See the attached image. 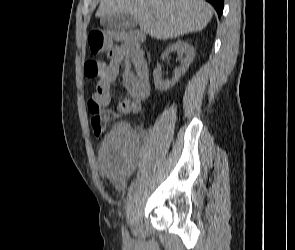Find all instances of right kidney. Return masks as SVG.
Here are the masks:
<instances>
[{"mask_svg": "<svg viewBox=\"0 0 295 250\" xmlns=\"http://www.w3.org/2000/svg\"><path fill=\"white\" fill-rule=\"evenodd\" d=\"M172 52H178L179 54H184L185 58L181 61V65L179 68L175 69L174 76L170 80H164L161 77V71L159 69H155L153 71V79L156 89L159 91H167L172 86L178 82L179 78L187 71L189 65L193 62L195 57L194 48L186 41H176L171 44L164 53L161 55V59L164 60L168 55Z\"/></svg>", "mask_w": 295, "mask_h": 250, "instance_id": "1", "label": "right kidney"}]
</instances>
